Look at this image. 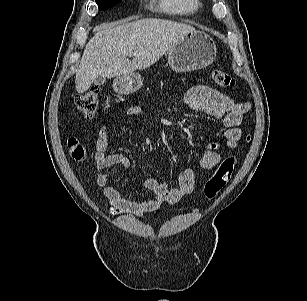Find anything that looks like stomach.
Masks as SVG:
<instances>
[{"instance_id": "obj_1", "label": "stomach", "mask_w": 307, "mask_h": 301, "mask_svg": "<svg viewBox=\"0 0 307 301\" xmlns=\"http://www.w3.org/2000/svg\"><path fill=\"white\" fill-rule=\"evenodd\" d=\"M214 41L204 32L193 30L184 34L168 52V64L175 72H190L208 67L216 57ZM143 79L137 72L116 77L113 89L118 94L139 90Z\"/></svg>"}]
</instances>
